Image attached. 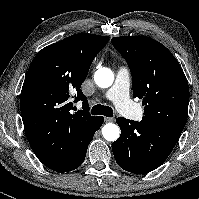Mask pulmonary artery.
<instances>
[{"instance_id": "1", "label": "pulmonary artery", "mask_w": 199, "mask_h": 199, "mask_svg": "<svg viewBox=\"0 0 199 199\" xmlns=\"http://www.w3.org/2000/svg\"><path fill=\"white\" fill-rule=\"evenodd\" d=\"M106 98L112 101L117 109L126 113L133 108L130 97V72L126 67L118 69L113 86L107 91ZM129 117H134L133 113H128Z\"/></svg>"}]
</instances>
